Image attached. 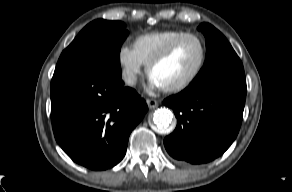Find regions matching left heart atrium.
Wrapping results in <instances>:
<instances>
[{
	"mask_svg": "<svg viewBox=\"0 0 292 192\" xmlns=\"http://www.w3.org/2000/svg\"><path fill=\"white\" fill-rule=\"evenodd\" d=\"M149 88L150 89H160L162 86L154 80L152 77L149 76Z\"/></svg>",
	"mask_w": 292,
	"mask_h": 192,
	"instance_id": "39dd6f15",
	"label": "left heart atrium"
}]
</instances>
